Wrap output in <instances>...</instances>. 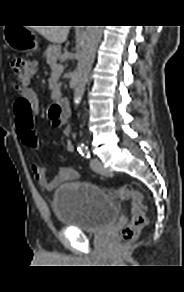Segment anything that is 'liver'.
Listing matches in <instances>:
<instances>
[{"mask_svg": "<svg viewBox=\"0 0 184 292\" xmlns=\"http://www.w3.org/2000/svg\"><path fill=\"white\" fill-rule=\"evenodd\" d=\"M71 26H37L35 28L46 40L51 43L66 41Z\"/></svg>", "mask_w": 184, "mask_h": 292, "instance_id": "liver-1", "label": "liver"}]
</instances>
